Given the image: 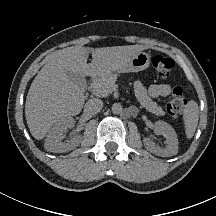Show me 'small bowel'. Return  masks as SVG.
Segmentation results:
<instances>
[{"mask_svg":"<svg viewBox=\"0 0 216 216\" xmlns=\"http://www.w3.org/2000/svg\"><path fill=\"white\" fill-rule=\"evenodd\" d=\"M149 95L153 98L166 97L171 92V87L165 83L152 84L148 89Z\"/></svg>","mask_w":216,"mask_h":216,"instance_id":"1","label":"small bowel"}]
</instances>
